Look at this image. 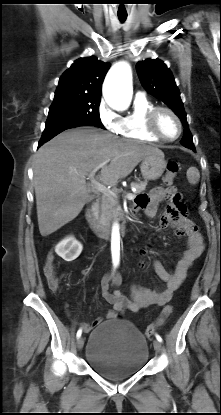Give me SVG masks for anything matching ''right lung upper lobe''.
I'll list each match as a JSON object with an SVG mask.
<instances>
[{
    "mask_svg": "<svg viewBox=\"0 0 221 415\" xmlns=\"http://www.w3.org/2000/svg\"><path fill=\"white\" fill-rule=\"evenodd\" d=\"M110 63L95 56L76 60L60 77L55 94L76 93L101 97V86Z\"/></svg>",
    "mask_w": 221,
    "mask_h": 415,
    "instance_id": "1",
    "label": "right lung upper lobe"
}]
</instances>
